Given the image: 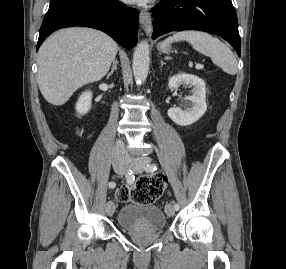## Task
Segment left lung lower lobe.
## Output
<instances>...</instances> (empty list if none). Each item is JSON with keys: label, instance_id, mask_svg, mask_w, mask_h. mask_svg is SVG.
<instances>
[{"label": "left lung lower lobe", "instance_id": "1", "mask_svg": "<svg viewBox=\"0 0 286 269\" xmlns=\"http://www.w3.org/2000/svg\"><path fill=\"white\" fill-rule=\"evenodd\" d=\"M153 39L171 31L201 30L221 36L240 56V36L231 0H162L152 9Z\"/></svg>", "mask_w": 286, "mask_h": 269}]
</instances>
